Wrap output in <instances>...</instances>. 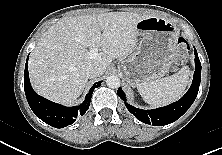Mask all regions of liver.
Segmentation results:
<instances>
[{
	"label": "liver",
	"instance_id": "1",
	"mask_svg": "<svg viewBox=\"0 0 222 155\" xmlns=\"http://www.w3.org/2000/svg\"><path fill=\"white\" fill-rule=\"evenodd\" d=\"M148 17L109 12L59 20L42 35L30 55L28 69L34 90L54 102L72 103L88 82L87 66L96 64L105 71L113 59L132 53L137 43L136 26ZM89 47L102 48L99 58L87 57Z\"/></svg>",
	"mask_w": 222,
	"mask_h": 155
}]
</instances>
